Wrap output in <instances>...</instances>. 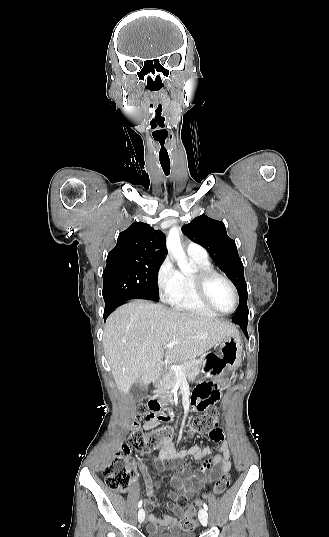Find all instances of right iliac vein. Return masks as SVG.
Wrapping results in <instances>:
<instances>
[{
  "mask_svg": "<svg viewBox=\"0 0 329 537\" xmlns=\"http://www.w3.org/2000/svg\"><path fill=\"white\" fill-rule=\"evenodd\" d=\"M145 519V512L144 510L141 508L139 511H138V521L140 523H142Z\"/></svg>",
  "mask_w": 329,
  "mask_h": 537,
  "instance_id": "63e3f726",
  "label": "right iliac vein"
}]
</instances>
